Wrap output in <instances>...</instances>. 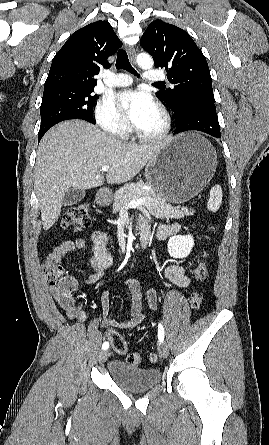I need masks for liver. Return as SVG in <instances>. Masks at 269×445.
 Wrapping results in <instances>:
<instances>
[{
    "mask_svg": "<svg viewBox=\"0 0 269 445\" xmlns=\"http://www.w3.org/2000/svg\"><path fill=\"white\" fill-rule=\"evenodd\" d=\"M169 139L149 144H128L83 120H69L51 128L42 138L35 165V189L44 230L61 213L70 188L91 189L106 180L121 184L133 179Z\"/></svg>",
    "mask_w": 269,
    "mask_h": 445,
    "instance_id": "1",
    "label": "liver"
}]
</instances>
